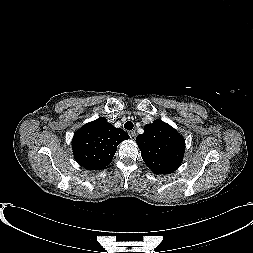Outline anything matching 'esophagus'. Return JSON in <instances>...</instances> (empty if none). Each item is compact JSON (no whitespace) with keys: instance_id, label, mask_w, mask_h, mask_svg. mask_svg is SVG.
I'll use <instances>...</instances> for the list:
<instances>
[{"instance_id":"1","label":"esophagus","mask_w":253,"mask_h":253,"mask_svg":"<svg viewBox=\"0 0 253 253\" xmlns=\"http://www.w3.org/2000/svg\"><path fill=\"white\" fill-rule=\"evenodd\" d=\"M129 135H130L131 138H135V136H136V131H135V130L130 131V132H129Z\"/></svg>"}]
</instances>
